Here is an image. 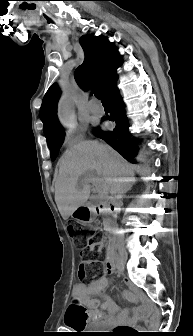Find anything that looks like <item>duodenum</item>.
I'll return each mask as SVG.
<instances>
[{"instance_id": "1", "label": "duodenum", "mask_w": 193, "mask_h": 336, "mask_svg": "<svg viewBox=\"0 0 193 336\" xmlns=\"http://www.w3.org/2000/svg\"><path fill=\"white\" fill-rule=\"evenodd\" d=\"M94 209L97 214H106L107 212L114 210V205L111 203H104V204L96 205ZM106 257H107V261L109 262V264L114 266L115 265V251H114V244H113L112 239H110V242L108 244Z\"/></svg>"}]
</instances>
